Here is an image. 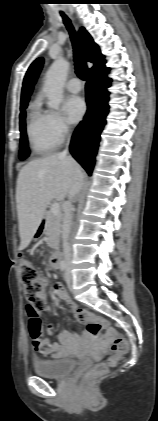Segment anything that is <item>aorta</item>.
Returning <instances> with one entry per match:
<instances>
[{"label": "aorta", "instance_id": "obj_1", "mask_svg": "<svg viewBox=\"0 0 158 421\" xmlns=\"http://www.w3.org/2000/svg\"><path fill=\"white\" fill-rule=\"evenodd\" d=\"M69 67L67 61L57 59L46 73L43 91L48 98V106L52 109H59L63 100V87Z\"/></svg>", "mask_w": 158, "mask_h": 421}]
</instances>
